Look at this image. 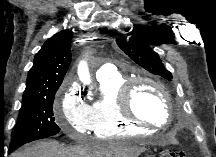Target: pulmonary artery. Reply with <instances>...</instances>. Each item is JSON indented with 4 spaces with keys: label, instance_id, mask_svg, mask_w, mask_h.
<instances>
[{
    "label": "pulmonary artery",
    "instance_id": "e3ab8cb5",
    "mask_svg": "<svg viewBox=\"0 0 216 157\" xmlns=\"http://www.w3.org/2000/svg\"><path fill=\"white\" fill-rule=\"evenodd\" d=\"M116 73V67L113 64H103L98 68L96 78L99 80L115 75Z\"/></svg>",
    "mask_w": 216,
    "mask_h": 157
}]
</instances>
